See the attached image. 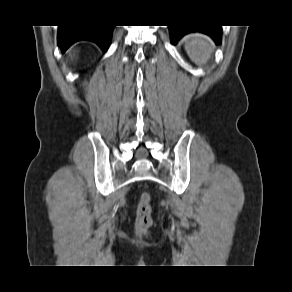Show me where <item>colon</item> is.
<instances>
[{"label": "colon", "mask_w": 292, "mask_h": 292, "mask_svg": "<svg viewBox=\"0 0 292 292\" xmlns=\"http://www.w3.org/2000/svg\"><path fill=\"white\" fill-rule=\"evenodd\" d=\"M153 224L151 197L149 193L143 192L140 195L139 203L136 212L135 229L139 235H144L148 232Z\"/></svg>", "instance_id": "5ec220e1"}]
</instances>
